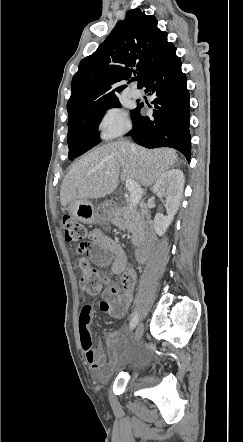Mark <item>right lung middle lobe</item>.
<instances>
[{"label":"right lung middle lobe","instance_id":"dd1d6c3e","mask_svg":"<svg viewBox=\"0 0 243 442\" xmlns=\"http://www.w3.org/2000/svg\"><path fill=\"white\" fill-rule=\"evenodd\" d=\"M113 107H120L117 97L70 120L68 119L67 141L69 146L68 158L70 160L100 143L98 125L105 111ZM134 111L135 109L132 111V115Z\"/></svg>","mask_w":243,"mask_h":442}]
</instances>
